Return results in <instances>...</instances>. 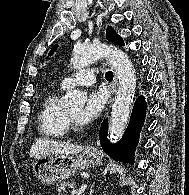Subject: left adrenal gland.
I'll return each instance as SVG.
<instances>
[{
    "instance_id": "a2214340",
    "label": "left adrenal gland",
    "mask_w": 189,
    "mask_h": 195,
    "mask_svg": "<svg viewBox=\"0 0 189 195\" xmlns=\"http://www.w3.org/2000/svg\"><path fill=\"white\" fill-rule=\"evenodd\" d=\"M93 187H94V186H92V187H91V190H90V195H92V194H93V192H94Z\"/></svg>"
}]
</instances>
